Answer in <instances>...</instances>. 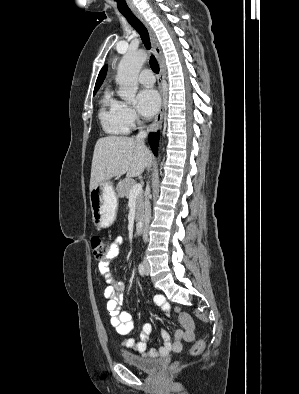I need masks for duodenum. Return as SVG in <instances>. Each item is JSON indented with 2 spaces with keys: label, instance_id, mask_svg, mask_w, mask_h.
Listing matches in <instances>:
<instances>
[{
  "label": "duodenum",
  "instance_id": "1",
  "mask_svg": "<svg viewBox=\"0 0 299 394\" xmlns=\"http://www.w3.org/2000/svg\"><path fill=\"white\" fill-rule=\"evenodd\" d=\"M142 230H143V223H142V221H137L136 227H135L136 234H141Z\"/></svg>",
  "mask_w": 299,
  "mask_h": 394
}]
</instances>
